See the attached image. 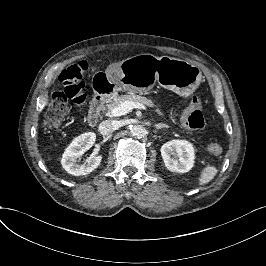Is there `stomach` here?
Wrapping results in <instances>:
<instances>
[{"instance_id":"1","label":"stomach","mask_w":266,"mask_h":266,"mask_svg":"<svg viewBox=\"0 0 266 266\" xmlns=\"http://www.w3.org/2000/svg\"><path fill=\"white\" fill-rule=\"evenodd\" d=\"M157 60L159 66L155 59L149 57L126 61L118 77L105 73L112 91L105 95L116 98L117 91L122 88L130 93L143 94L158 82L161 87L187 97L202 81L201 70L189 62L167 56ZM143 71L148 72L143 75Z\"/></svg>"}]
</instances>
